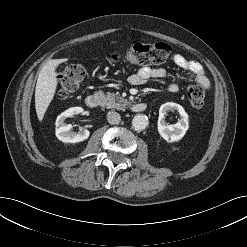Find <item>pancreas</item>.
Segmentation results:
<instances>
[{
    "label": "pancreas",
    "mask_w": 247,
    "mask_h": 247,
    "mask_svg": "<svg viewBox=\"0 0 247 247\" xmlns=\"http://www.w3.org/2000/svg\"><path fill=\"white\" fill-rule=\"evenodd\" d=\"M96 94L100 97L102 106H105L108 109L113 108L123 110L129 104V102L118 93L108 92L105 94L103 91H98Z\"/></svg>",
    "instance_id": "obj_1"
}]
</instances>
